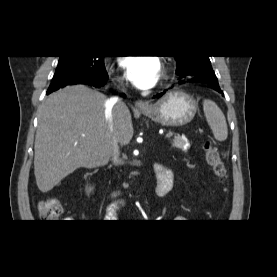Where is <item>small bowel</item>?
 <instances>
[{
  "label": "small bowel",
  "mask_w": 277,
  "mask_h": 277,
  "mask_svg": "<svg viewBox=\"0 0 277 277\" xmlns=\"http://www.w3.org/2000/svg\"><path fill=\"white\" fill-rule=\"evenodd\" d=\"M161 167H164V166L159 163L155 165V172L157 175V179H158V177H160V168ZM168 174H170V176H171V183H172V175L169 170H168ZM171 183L169 185H167L165 182L159 180L158 181V190H157L158 195L165 194L168 191V189L171 188Z\"/></svg>",
  "instance_id": "c3829d8e"
}]
</instances>
